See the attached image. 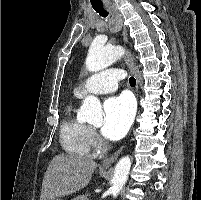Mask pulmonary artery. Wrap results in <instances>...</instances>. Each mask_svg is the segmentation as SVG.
Listing matches in <instances>:
<instances>
[{
	"mask_svg": "<svg viewBox=\"0 0 201 200\" xmlns=\"http://www.w3.org/2000/svg\"><path fill=\"white\" fill-rule=\"evenodd\" d=\"M123 75L116 69L98 72L86 78L75 91L76 96L82 97L88 93L104 94L115 91Z\"/></svg>",
	"mask_w": 201,
	"mask_h": 200,
	"instance_id": "pulmonary-artery-1",
	"label": "pulmonary artery"
}]
</instances>
